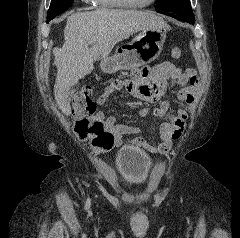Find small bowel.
Segmentation results:
<instances>
[{"label": "small bowel", "mask_w": 240, "mask_h": 238, "mask_svg": "<svg viewBox=\"0 0 240 238\" xmlns=\"http://www.w3.org/2000/svg\"><path fill=\"white\" fill-rule=\"evenodd\" d=\"M198 82V76L194 69L187 68L183 71L174 62L165 61L150 69H143L131 81H114L108 83L104 87L102 94L97 98L99 105L104 104L114 91L122 87H125L134 97L150 102L159 100L165 94L169 84H179L183 87L177 94L179 103L177 113L170 112L167 101H163L155 110V115L163 119V122L159 126L160 141L157 144L142 137L127 140L126 136L140 134L141 129L121 124L113 116L105 118L103 112H97L93 116V119L102 121L105 124L106 130L113 136V143L105 148V150L131 142L151 152L166 153L171 148L173 140L178 139L182 134L185 121L188 118V113L183 108V105H192L195 102L198 92ZM148 113L149 109L147 107H142L139 110L141 117L147 116Z\"/></svg>", "instance_id": "1"}]
</instances>
